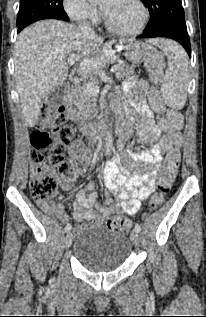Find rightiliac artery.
<instances>
[{
  "label": "right iliac artery",
  "mask_w": 206,
  "mask_h": 317,
  "mask_svg": "<svg viewBox=\"0 0 206 317\" xmlns=\"http://www.w3.org/2000/svg\"><path fill=\"white\" fill-rule=\"evenodd\" d=\"M71 230V225L67 224L65 227V232H69Z\"/></svg>",
  "instance_id": "82829eb1"
}]
</instances>
